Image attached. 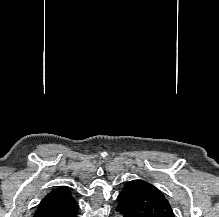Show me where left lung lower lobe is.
I'll return each instance as SVG.
<instances>
[{"label": "left lung lower lobe", "mask_w": 219, "mask_h": 217, "mask_svg": "<svg viewBox=\"0 0 219 217\" xmlns=\"http://www.w3.org/2000/svg\"><path fill=\"white\" fill-rule=\"evenodd\" d=\"M117 210L120 211L122 214H124V217H127L121 209L117 208Z\"/></svg>", "instance_id": "1"}]
</instances>
